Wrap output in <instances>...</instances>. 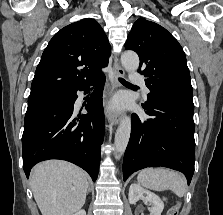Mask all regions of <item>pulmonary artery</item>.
I'll use <instances>...</instances> for the list:
<instances>
[{
  "mask_svg": "<svg viewBox=\"0 0 223 215\" xmlns=\"http://www.w3.org/2000/svg\"><path fill=\"white\" fill-rule=\"evenodd\" d=\"M131 78L136 87H142V89H140V94H142V97L148 98L149 89H145L146 78L142 77V73H131Z\"/></svg>",
  "mask_w": 223,
  "mask_h": 215,
  "instance_id": "obj_1",
  "label": "pulmonary artery"
}]
</instances>
